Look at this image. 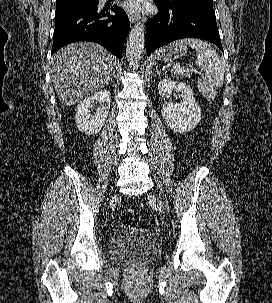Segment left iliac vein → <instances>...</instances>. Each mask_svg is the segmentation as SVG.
Masks as SVG:
<instances>
[{
  "label": "left iliac vein",
  "instance_id": "1",
  "mask_svg": "<svg viewBox=\"0 0 272 303\" xmlns=\"http://www.w3.org/2000/svg\"><path fill=\"white\" fill-rule=\"evenodd\" d=\"M152 197V199L162 208V209H165V207H164V204H163V202L161 201V200H159L156 196H151Z\"/></svg>",
  "mask_w": 272,
  "mask_h": 303
}]
</instances>
